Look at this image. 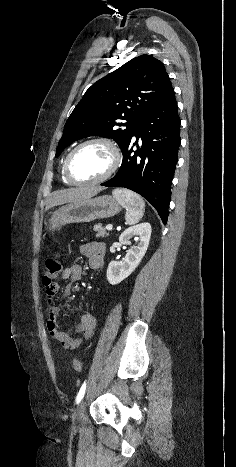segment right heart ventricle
Segmentation results:
<instances>
[{"instance_id":"1","label":"right heart ventricle","mask_w":236,"mask_h":467,"mask_svg":"<svg viewBox=\"0 0 236 467\" xmlns=\"http://www.w3.org/2000/svg\"><path fill=\"white\" fill-rule=\"evenodd\" d=\"M67 159V156L64 158L63 162H62V165H61V178H62V181L66 184H71L65 177L64 175V165H65V161Z\"/></svg>"}]
</instances>
